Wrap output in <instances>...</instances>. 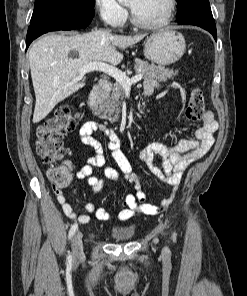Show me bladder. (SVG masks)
<instances>
[{
	"label": "bladder",
	"instance_id": "1",
	"mask_svg": "<svg viewBox=\"0 0 247 296\" xmlns=\"http://www.w3.org/2000/svg\"><path fill=\"white\" fill-rule=\"evenodd\" d=\"M135 233L133 227H115L111 232L112 238L117 242H126L130 240Z\"/></svg>",
	"mask_w": 247,
	"mask_h": 296
}]
</instances>
